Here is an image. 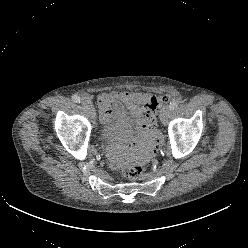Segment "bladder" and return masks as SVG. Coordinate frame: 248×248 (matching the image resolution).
I'll list each match as a JSON object with an SVG mask.
<instances>
[{
    "instance_id": "bladder-1",
    "label": "bladder",
    "mask_w": 248,
    "mask_h": 248,
    "mask_svg": "<svg viewBox=\"0 0 248 248\" xmlns=\"http://www.w3.org/2000/svg\"><path fill=\"white\" fill-rule=\"evenodd\" d=\"M135 126V119L125 107L117 108L115 115L101 129V140L110 142L127 136Z\"/></svg>"
}]
</instances>
